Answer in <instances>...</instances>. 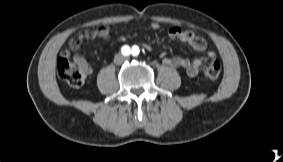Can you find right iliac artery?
Returning a JSON list of instances; mask_svg holds the SVG:
<instances>
[{
  "label": "right iliac artery",
  "mask_w": 283,
  "mask_h": 162,
  "mask_svg": "<svg viewBox=\"0 0 283 162\" xmlns=\"http://www.w3.org/2000/svg\"><path fill=\"white\" fill-rule=\"evenodd\" d=\"M121 52H122L123 55H129V53H130L129 46H127V45L123 46L122 49H121Z\"/></svg>",
  "instance_id": "right-iliac-artery-1"
}]
</instances>
